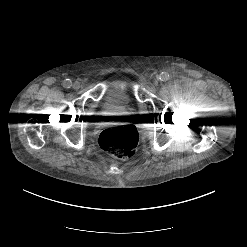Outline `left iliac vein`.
<instances>
[{
    "label": "left iliac vein",
    "mask_w": 247,
    "mask_h": 247,
    "mask_svg": "<svg viewBox=\"0 0 247 247\" xmlns=\"http://www.w3.org/2000/svg\"><path fill=\"white\" fill-rule=\"evenodd\" d=\"M158 83H159V79H158V78H155V79H154V84H155V85H158Z\"/></svg>",
    "instance_id": "4c4485c4"
}]
</instances>
